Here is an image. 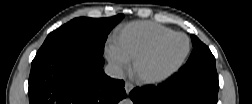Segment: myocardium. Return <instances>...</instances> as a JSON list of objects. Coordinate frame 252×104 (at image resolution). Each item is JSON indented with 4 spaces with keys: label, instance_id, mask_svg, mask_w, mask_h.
<instances>
[{
    "label": "myocardium",
    "instance_id": "myocardium-1",
    "mask_svg": "<svg viewBox=\"0 0 252 104\" xmlns=\"http://www.w3.org/2000/svg\"><path fill=\"white\" fill-rule=\"evenodd\" d=\"M174 36H183L185 37L186 41H187V47L185 52L183 53V55L174 63L166 66L165 68H163L162 70L156 72V73H141L139 70V66L141 64V62L143 60H145L147 57H149L152 52L157 48V46H150L146 49H144L141 53H139L133 60V69L135 74L137 75V77L143 81V82H150V81H154L157 79H160L162 77H164L165 75H167L168 73H170L171 71L177 69L185 60V58L187 57L189 51H190V40L189 37L183 33H176L174 34Z\"/></svg>",
    "mask_w": 252,
    "mask_h": 104
}]
</instances>
